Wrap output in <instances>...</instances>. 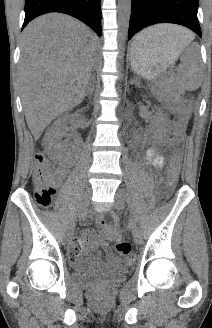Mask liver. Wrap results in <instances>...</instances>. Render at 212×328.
<instances>
[{
  "instance_id": "6515ba94",
  "label": "liver",
  "mask_w": 212,
  "mask_h": 328,
  "mask_svg": "<svg viewBox=\"0 0 212 328\" xmlns=\"http://www.w3.org/2000/svg\"><path fill=\"white\" fill-rule=\"evenodd\" d=\"M151 41L186 45L193 33L176 25L146 29ZM97 38L80 21L59 13L40 16L23 31L19 83L27 125L37 140L58 115L81 103L90 81Z\"/></svg>"
}]
</instances>
